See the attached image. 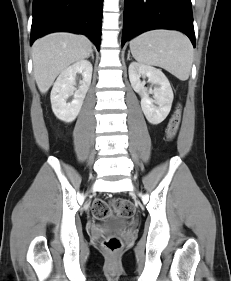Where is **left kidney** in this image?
Masks as SVG:
<instances>
[{
    "mask_svg": "<svg viewBox=\"0 0 231 281\" xmlns=\"http://www.w3.org/2000/svg\"><path fill=\"white\" fill-rule=\"evenodd\" d=\"M128 71L131 86L141 96V108L146 119L153 125L160 124L168 116L174 97L167 77L160 69L137 62H132ZM141 77H147L148 82L157 86L151 92L154 99L149 97Z\"/></svg>",
    "mask_w": 231,
    "mask_h": 281,
    "instance_id": "1",
    "label": "left kidney"
}]
</instances>
